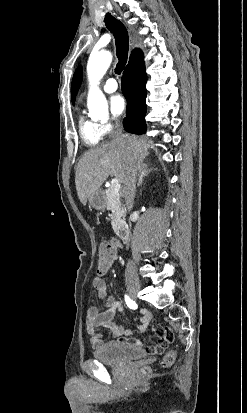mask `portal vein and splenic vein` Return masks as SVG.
<instances>
[{
  "instance_id": "portal-vein-and-splenic-vein-1",
  "label": "portal vein and splenic vein",
  "mask_w": 247,
  "mask_h": 413,
  "mask_svg": "<svg viewBox=\"0 0 247 413\" xmlns=\"http://www.w3.org/2000/svg\"><path fill=\"white\" fill-rule=\"evenodd\" d=\"M110 186H111L112 190H114V192H116V194H117V192H119V190H120V182H119L118 178H112Z\"/></svg>"
}]
</instances>
